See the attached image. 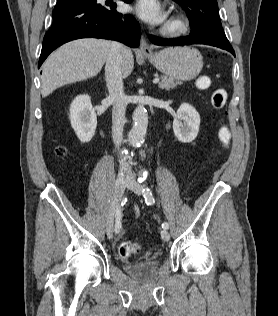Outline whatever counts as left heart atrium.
Instances as JSON below:
<instances>
[{
  "instance_id": "obj_1",
  "label": "left heart atrium",
  "mask_w": 278,
  "mask_h": 316,
  "mask_svg": "<svg viewBox=\"0 0 278 316\" xmlns=\"http://www.w3.org/2000/svg\"><path fill=\"white\" fill-rule=\"evenodd\" d=\"M135 12L140 18L151 24H160L166 18L165 11L158 0H138Z\"/></svg>"
}]
</instances>
